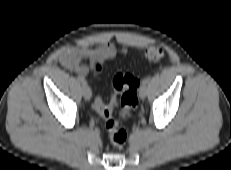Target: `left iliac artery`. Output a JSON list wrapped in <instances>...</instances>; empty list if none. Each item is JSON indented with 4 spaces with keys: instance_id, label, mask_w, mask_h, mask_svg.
Returning a JSON list of instances; mask_svg holds the SVG:
<instances>
[{
    "instance_id": "44dca946",
    "label": "left iliac artery",
    "mask_w": 231,
    "mask_h": 170,
    "mask_svg": "<svg viewBox=\"0 0 231 170\" xmlns=\"http://www.w3.org/2000/svg\"><path fill=\"white\" fill-rule=\"evenodd\" d=\"M149 81H150V78L147 77L143 79L142 83L147 85Z\"/></svg>"
}]
</instances>
